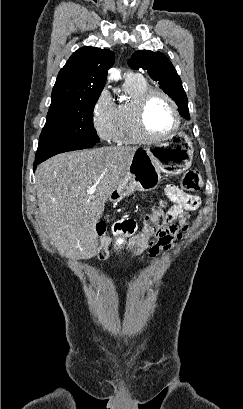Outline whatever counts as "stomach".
<instances>
[{
	"label": "stomach",
	"instance_id": "obj_1",
	"mask_svg": "<svg viewBox=\"0 0 243 409\" xmlns=\"http://www.w3.org/2000/svg\"><path fill=\"white\" fill-rule=\"evenodd\" d=\"M193 152L192 142L182 133L153 147L136 151L129 172L116 191L118 197L156 189L161 174L172 176L186 171L192 164Z\"/></svg>",
	"mask_w": 243,
	"mask_h": 409
}]
</instances>
